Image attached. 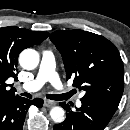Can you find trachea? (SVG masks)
<instances>
[{
  "label": "trachea",
  "mask_w": 130,
  "mask_h": 130,
  "mask_svg": "<svg viewBox=\"0 0 130 130\" xmlns=\"http://www.w3.org/2000/svg\"><path fill=\"white\" fill-rule=\"evenodd\" d=\"M25 97H28V98H32V95L29 94V93H23L21 94ZM71 96V93H66V94H47L46 97L48 99H51V100H56V101H62V100H67L68 98H70Z\"/></svg>",
  "instance_id": "trachea-1"
}]
</instances>
